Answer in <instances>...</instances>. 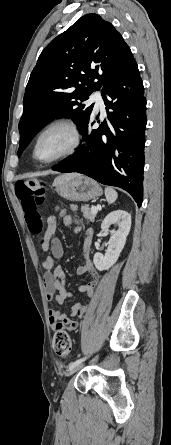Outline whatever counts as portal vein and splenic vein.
Returning a JSON list of instances; mask_svg holds the SVG:
<instances>
[{"instance_id":"1","label":"portal vein and splenic vein","mask_w":171,"mask_h":445,"mask_svg":"<svg viewBox=\"0 0 171 445\" xmlns=\"http://www.w3.org/2000/svg\"><path fill=\"white\" fill-rule=\"evenodd\" d=\"M91 212H92L93 214H96V213L98 212V207H96V206H92V208H91Z\"/></svg>"}]
</instances>
